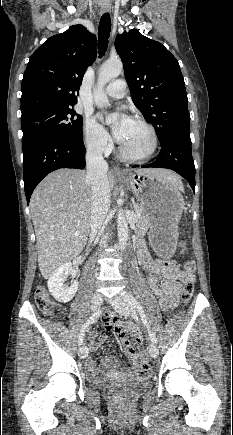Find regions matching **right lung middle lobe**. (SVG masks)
I'll return each mask as SVG.
<instances>
[{"instance_id": "dd1d6c3e", "label": "right lung middle lobe", "mask_w": 233, "mask_h": 435, "mask_svg": "<svg viewBox=\"0 0 233 435\" xmlns=\"http://www.w3.org/2000/svg\"><path fill=\"white\" fill-rule=\"evenodd\" d=\"M83 118L70 106L48 107L21 116L22 143L53 135L67 140L82 139Z\"/></svg>"}]
</instances>
